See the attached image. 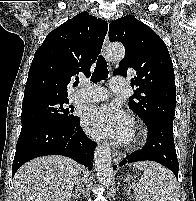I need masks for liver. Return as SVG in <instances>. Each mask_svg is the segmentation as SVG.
<instances>
[{
    "instance_id": "1",
    "label": "liver",
    "mask_w": 196,
    "mask_h": 201,
    "mask_svg": "<svg viewBox=\"0 0 196 201\" xmlns=\"http://www.w3.org/2000/svg\"><path fill=\"white\" fill-rule=\"evenodd\" d=\"M81 166L63 156L35 158L13 179L14 201H69Z\"/></svg>"
}]
</instances>
